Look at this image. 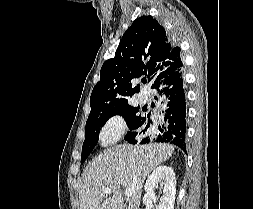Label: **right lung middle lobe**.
Here are the masks:
<instances>
[{"label": "right lung middle lobe", "mask_w": 253, "mask_h": 209, "mask_svg": "<svg viewBox=\"0 0 253 209\" xmlns=\"http://www.w3.org/2000/svg\"><path fill=\"white\" fill-rule=\"evenodd\" d=\"M138 111L139 107L130 106L88 117L86 122V137L82 147L81 164L85 162L86 158L89 156L97 144L100 128L107 122L110 117L114 115L123 116L130 129V132H132L137 129L138 126H140L142 120V116L137 114Z\"/></svg>", "instance_id": "obj_1"}]
</instances>
